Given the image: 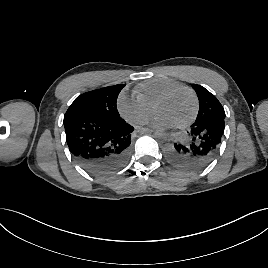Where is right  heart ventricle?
Returning a JSON list of instances; mask_svg holds the SVG:
<instances>
[{"label": "right heart ventricle", "mask_w": 268, "mask_h": 268, "mask_svg": "<svg viewBox=\"0 0 268 268\" xmlns=\"http://www.w3.org/2000/svg\"><path fill=\"white\" fill-rule=\"evenodd\" d=\"M175 80L157 77L139 83L134 88V95L137 99L143 101L149 107L153 108L156 101L168 90L178 86Z\"/></svg>", "instance_id": "obj_1"}]
</instances>
